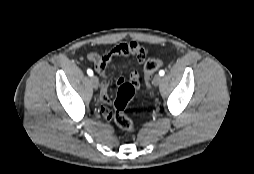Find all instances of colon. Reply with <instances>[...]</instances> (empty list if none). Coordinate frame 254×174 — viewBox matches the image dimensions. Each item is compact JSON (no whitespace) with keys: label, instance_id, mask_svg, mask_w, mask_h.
Masks as SVG:
<instances>
[{"label":"colon","instance_id":"colon-1","mask_svg":"<svg viewBox=\"0 0 254 174\" xmlns=\"http://www.w3.org/2000/svg\"><path fill=\"white\" fill-rule=\"evenodd\" d=\"M121 45V44H120ZM130 47H134L137 44H127ZM163 65L162 61L158 59H148L144 64V75L147 85L150 84L152 75ZM137 86L133 83L126 82L119 86L117 97L114 101V114L113 121L122 130L127 132H133L135 130L134 122L126 115L125 109L135 96Z\"/></svg>","mask_w":254,"mask_h":174}]
</instances>
